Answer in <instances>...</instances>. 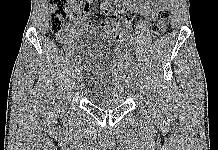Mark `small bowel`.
Masks as SVG:
<instances>
[{
	"label": "small bowel",
	"mask_w": 218,
	"mask_h": 150,
	"mask_svg": "<svg viewBox=\"0 0 218 150\" xmlns=\"http://www.w3.org/2000/svg\"><path fill=\"white\" fill-rule=\"evenodd\" d=\"M93 2L94 0H72V19L76 20L82 14L84 21L74 30H69L67 26L64 27V29L57 34V40L60 43L72 47L74 41L82 34L100 27L90 20ZM169 3L170 0H103L101 4V12L107 14L110 12L112 5L116 6L119 9L118 12L122 13L124 16L123 27L129 30L134 18L135 10H137L147 20H152L160 10L167 8Z\"/></svg>",
	"instance_id": "obj_1"
}]
</instances>
